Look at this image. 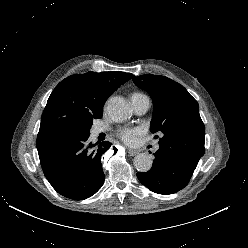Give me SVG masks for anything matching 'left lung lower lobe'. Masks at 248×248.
<instances>
[{
	"label": "left lung lower lobe",
	"instance_id": "0a47b994",
	"mask_svg": "<svg viewBox=\"0 0 248 248\" xmlns=\"http://www.w3.org/2000/svg\"><path fill=\"white\" fill-rule=\"evenodd\" d=\"M152 168L144 173L138 172L139 181L148 189L158 194H173L184 188L196 166L172 152L160 149L154 154Z\"/></svg>",
	"mask_w": 248,
	"mask_h": 248
}]
</instances>
